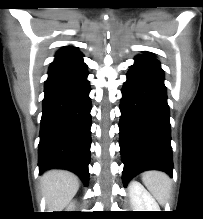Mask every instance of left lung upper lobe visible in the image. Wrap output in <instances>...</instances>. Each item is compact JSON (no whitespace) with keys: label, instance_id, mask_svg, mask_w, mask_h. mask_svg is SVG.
<instances>
[{"label":"left lung upper lobe","instance_id":"obj_1","mask_svg":"<svg viewBox=\"0 0 203 219\" xmlns=\"http://www.w3.org/2000/svg\"><path fill=\"white\" fill-rule=\"evenodd\" d=\"M142 56H148V57H150L148 54H143Z\"/></svg>","mask_w":203,"mask_h":219}]
</instances>
